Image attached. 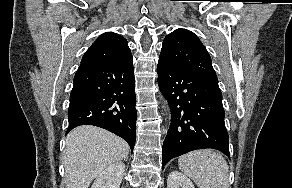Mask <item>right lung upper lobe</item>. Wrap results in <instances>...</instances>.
Masks as SVG:
<instances>
[{"label": "right lung upper lobe", "instance_id": "obj_1", "mask_svg": "<svg viewBox=\"0 0 292 188\" xmlns=\"http://www.w3.org/2000/svg\"><path fill=\"white\" fill-rule=\"evenodd\" d=\"M131 58L126 39L116 33L105 32L86 51L81 63H116Z\"/></svg>", "mask_w": 292, "mask_h": 188}]
</instances>
